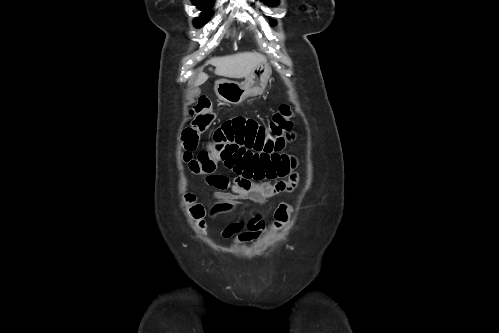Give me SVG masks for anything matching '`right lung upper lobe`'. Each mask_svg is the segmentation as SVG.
I'll use <instances>...</instances> for the list:
<instances>
[{
  "label": "right lung upper lobe",
  "instance_id": "cb5924a9",
  "mask_svg": "<svg viewBox=\"0 0 499 333\" xmlns=\"http://www.w3.org/2000/svg\"><path fill=\"white\" fill-rule=\"evenodd\" d=\"M192 1H196V2H212V0H192Z\"/></svg>",
  "mask_w": 499,
  "mask_h": 333
}]
</instances>
